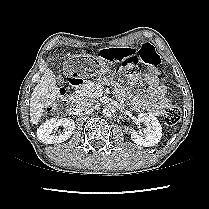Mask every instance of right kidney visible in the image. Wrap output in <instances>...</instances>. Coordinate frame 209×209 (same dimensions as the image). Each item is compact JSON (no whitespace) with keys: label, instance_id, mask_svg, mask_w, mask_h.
<instances>
[{"label":"right kidney","instance_id":"right-kidney-1","mask_svg":"<svg viewBox=\"0 0 209 209\" xmlns=\"http://www.w3.org/2000/svg\"><path fill=\"white\" fill-rule=\"evenodd\" d=\"M58 127H63V132L53 133ZM76 125L72 119L68 118H52L47 120L37 129V137L44 144L61 143L68 140L74 132Z\"/></svg>","mask_w":209,"mask_h":209}]
</instances>
